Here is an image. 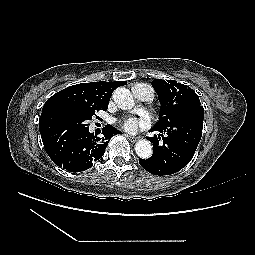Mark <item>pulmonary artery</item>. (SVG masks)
I'll use <instances>...</instances> for the list:
<instances>
[{"instance_id": "1", "label": "pulmonary artery", "mask_w": 255, "mask_h": 255, "mask_svg": "<svg viewBox=\"0 0 255 255\" xmlns=\"http://www.w3.org/2000/svg\"><path fill=\"white\" fill-rule=\"evenodd\" d=\"M132 93L137 101L150 102L154 98L153 89L147 84H136L132 88Z\"/></svg>"}]
</instances>
